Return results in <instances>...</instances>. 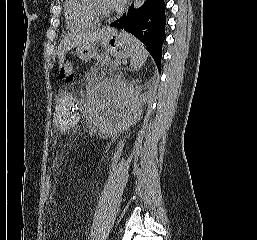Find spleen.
<instances>
[{
  "label": "spleen",
  "instance_id": "3e777b00",
  "mask_svg": "<svg viewBox=\"0 0 257 240\" xmlns=\"http://www.w3.org/2000/svg\"><path fill=\"white\" fill-rule=\"evenodd\" d=\"M124 35L131 43L130 66L134 69H138L146 62L148 58V52L144 45L135 37L128 33H124Z\"/></svg>",
  "mask_w": 257,
  "mask_h": 240
}]
</instances>
